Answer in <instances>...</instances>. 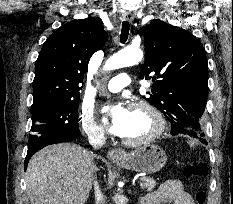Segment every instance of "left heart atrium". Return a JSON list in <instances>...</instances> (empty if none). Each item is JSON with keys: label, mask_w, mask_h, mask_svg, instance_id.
I'll use <instances>...</instances> for the list:
<instances>
[{"label": "left heart atrium", "mask_w": 233, "mask_h": 204, "mask_svg": "<svg viewBox=\"0 0 233 204\" xmlns=\"http://www.w3.org/2000/svg\"><path fill=\"white\" fill-rule=\"evenodd\" d=\"M103 112L109 118V131L115 135L121 136L127 125L129 110L121 103H117L105 107Z\"/></svg>", "instance_id": "left-heart-atrium-1"}]
</instances>
